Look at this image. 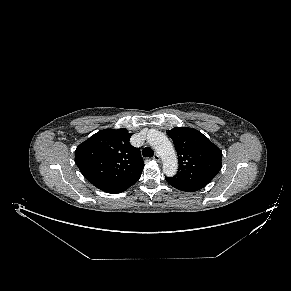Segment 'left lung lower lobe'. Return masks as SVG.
I'll return each mask as SVG.
<instances>
[{
    "mask_svg": "<svg viewBox=\"0 0 291 291\" xmlns=\"http://www.w3.org/2000/svg\"><path fill=\"white\" fill-rule=\"evenodd\" d=\"M166 181L173 186L174 188L181 190V191H186V192H194L202 189L203 187L206 186V184H183V183H178L173 181L171 178L166 177Z\"/></svg>",
    "mask_w": 291,
    "mask_h": 291,
    "instance_id": "left-lung-lower-lobe-1",
    "label": "left lung lower lobe"
}]
</instances>
